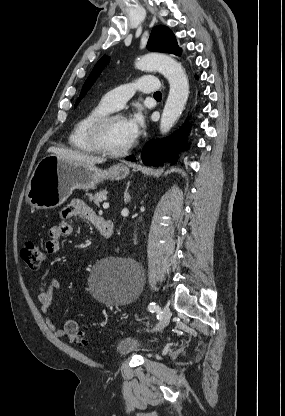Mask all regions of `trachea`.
Returning a JSON list of instances; mask_svg holds the SVG:
<instances>
[{"label": "trachea", "mask_w": 285, "mask_h": 416, "mask_svg": "<svg viewBox=\"0 0 285 416\" xmlns=\"http://www.w3.org/2000/svg\"><path fill=\"white\" fill-rule=\"evenodd\" d=\"M154 96H160V97H162V94H161V92H155L154 93Z\"/></svg>", "instance_id": "3493384b"}]
</instances>
